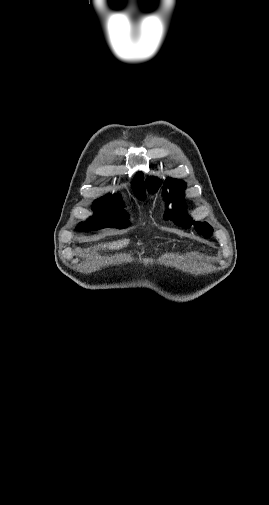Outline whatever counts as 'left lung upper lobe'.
Here are the masks:
<instances>
[{
  "label": "left lung upper lobe",
  "instance_id": "left-lung-upper-lobe-1",
  "mask_svg": "<svg viewBox=\"0 0 269 505\" xmlns=\"http://www.w3.org/2000/svg\"><path fill=\"white\" fill-rule=\"evenodd\" d=\"M161 185V182L156 179L149 177L147 179V188L149 192H154ZM185 183L178 179L167 178L164 182L163 189L165 190L167 187L172 191L170 194H165V200L167 203L173 202V209L167 210L164 215V219L173 220L175 224L182 226L183 228H189L192 224H194L195 229L199 234H202L205 237H210L212 234V227L207 223H199L193 222L192 219L185 214V208L183 206L182 201V192L185 188ZM173 191H178L175 194Z\"/></svg>",
  "mask_w": 269,
  "mask_h": 505
}]
</instances>
